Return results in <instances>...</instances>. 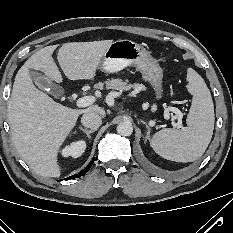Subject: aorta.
Returning <instances> with one entry per match:
<instances>
[{
  "mask_svg": "<svg viewBox=\"0 0 233 233\" xmlns=\"http://www.w3.org/2000/svg\"><path fill=\"white\" fill-rule=\"evenodd\" d=\"M117 132L121 136H130L133 132V127L130 122H121L117 126Z\"/></svg>",
  "mask_w": 233,
  "mask_h": 233,
  "instance_id": "762f6f07",
  "label": "aorta"
}]
</instances>
